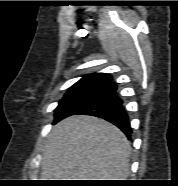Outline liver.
Here are the masks:
<instances>
[{"mask_svg":"<svg viewBox=\"0 0 178 186\" xmlns=\"http://www.w3.org/2000/svg\"><path fill=\"white\" fill-rule=\"evenodd\" d=\"M130 142L113 124L71 116L51 130L41 163L42 180H125Z\"/></svg>","mask_w":178,"mask_h":186,"instance_id":"1","label":"liver"}]
</instances>
